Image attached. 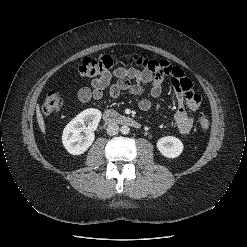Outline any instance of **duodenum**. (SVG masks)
<instances>
[{"mask_svg": "<svg viewBox=\"0 0 247 247\" xmlns=\"http://www.w3.org/2000/svg\"><path fill=\"white\" fill-rule=\"evenodd\" d=\"M103 119L107 124H121L134 128H139L140 123L129 116L120 115L112 110H106L103 114Z\"/></svg>", "mask_w": 247, "mask_h": 247, "instance_id": "obj_1", "label": "duodenum"}]
</instances>
